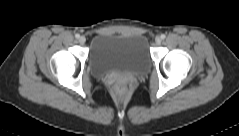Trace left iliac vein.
<instances>
[{
    "label": "left iliac vein",
    "mask_w": 239,
    "mask_h": 136,
    "mask_svg": "<svg viewBox=\"0 0 239 136\" xmlns=\"http://www.w3.org/2000/svg\"><path fill=\"white\" fill-rule=\"evenodd\" d=\"M161 38L159 37V36H157L156 38H155V43H156V45H160L161 44Z\"/></svg>",
    "instance_id": "1"
}]
</instances>
